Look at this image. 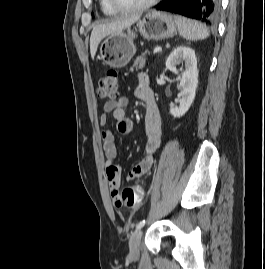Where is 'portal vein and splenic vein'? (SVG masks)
I'll return each instance as SVG.
<instances>
[{"label":"portal vein and splenic vein","instance_id":"1","mask_svg":"<svg viewBox=\"0 0 265 269\" xmlns=\"http://www.w3.org/2000/svg\"><path fill=\"white\" fill-rule=\"evenodd\" d=\"M161 51H162V48H161V47H156V48L154 49L153 53L155 54V53H159V52H161Z\"/></svg>","mask_w":265,"mask_h":269}]
</instances>
